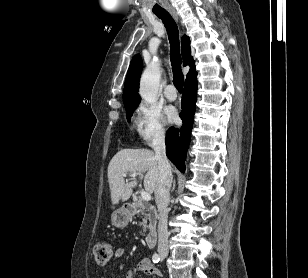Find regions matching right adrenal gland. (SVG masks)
I'll return each instance as SVG.
<instances>
[{
  "instance_id": "2a0ac1e0",
  "label": "right adrenal gland",
  "mask_w": 308,
  "mask_h": 278,
  "mask_svg": "<svg viewBox=\"0 0 308 278\" xmlns=\"http://www.w3.org/2000/svg\"><path fill=\"white\" fill-rule=\"evenodd\" d=\"M175 181L173 182V187H172V191H174V189H175Z\"/></svg>"
}]
</instances>
